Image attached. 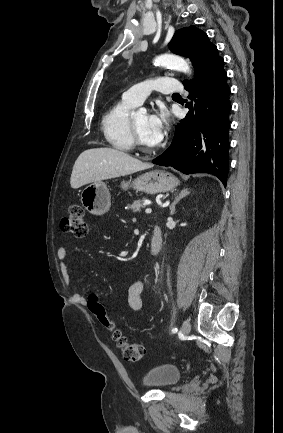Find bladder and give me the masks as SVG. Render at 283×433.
Listing matches in <instances>:
<instances>
[{
  "instance_id": "1",
  "label": "bladder",
  "mask_w": 283,
  "mask_h": 433,
  "mask_svg": "<svg viewBox=\"0 0 283 433\" xmlns=\"http://www.w3.org/2000/svg\"><path fill=\"white\" fill-rule=\"evenodd\" d=\"M181 372L169 363L150 369L143 378V384L150 388H170L178 382Z\"/></svg>"
}]
</instances>
